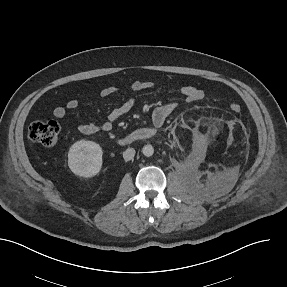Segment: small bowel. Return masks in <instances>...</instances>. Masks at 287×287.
Returning a JSON list of instances; mask_svg holds the SVG:
<instances>
[{"label": "small bowel", "instance_id": "obj_1", "mask_svg": "<svg viewBox=\"0 0 287 287\" xmlns=\"http://www.w3.org/2000/svg\"><path fill=\"white\" fill-rule=\"evenodd\" d=\"M150 81L134 80L127 87L128 91L139 92L152 88ZM118 88L114 86H107L100 92L101 96L108 97L118 92ZM181 94L185 102L194 103L202 100L205 96L204 91L196 86L185 85L181 88ZM178 101H170L155 108L152 114V122L155 128H161L169 116L175 111L178 106ZM136 105V98L130 96L125 99L121 104L114 107L107 120L102 123H81L78 126V130L86 135L95 134L98 131L108 132L112 129L114 123L120 118L132 111ZM78 107V101L76 99H70L65 105L55 107L53 113L58 119L66 117L69 110H74Z\"/></svg>", "mask_w": 287, "mask_h": 287}]
</instances>
